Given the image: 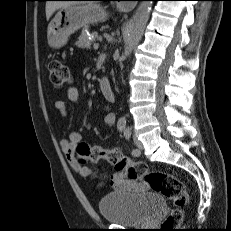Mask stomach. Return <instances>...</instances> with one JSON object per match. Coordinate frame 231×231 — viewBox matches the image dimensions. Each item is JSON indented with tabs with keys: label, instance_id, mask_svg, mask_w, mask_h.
Returning <instances> with one entry per match:
<instances>
[{
	"label": "stomach",
	"instance_id": "0dacf381",
	"mask_svg": "<svg viewBox=\"0 0 231 231\" xmlns=\"http://www.w3.org/2000/svg\"><path fill=\"white\" fill-rule=\"evenodd\" d=\"M108 13L98 3L73 4L60 8L48 25L47 39L52 48H60L67 43L75 31L103 21Z\"/></svg>",
	"mask_w": 231,
	"mask_h": 231
}]
</instances>
